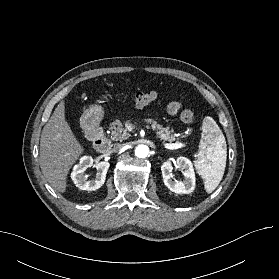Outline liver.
<instances>
[{"instance_id":"obj_1","label":"liver","mask_w":279,"mask_h":279,"mask_svg":"<svg viewBox=\"0 0 279 279\" xmlns=\"http://www.w3.org/2000/svg\"><path fill=\"white\" fill-rule=\"evenodd\" d=\"M84 148L65 120V103L61 101L44 126L40 138V168L48 183L64 193L67 175Z\"/></svg>"}]
</instances>
